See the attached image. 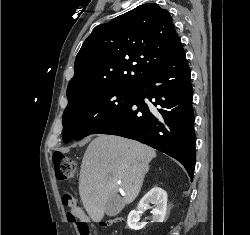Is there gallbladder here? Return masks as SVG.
<instances>
[{
    "mask_svg": "<svg viewBox=\"0 0 250 235\" xmlns=\"http://www.w3.org/2000/svg\"><path fill=\"white\" fill-rule=\"evenodd\" d=\"M124 205L120 198L110 197L107 201L105 213L108 216H116L123 209Z\"/></svg>",
    "mask_w": 250,
    "mask_h": 235,
    "instance_id": "gallbladder-1",
    "label": "gallbladder"
}]
</instances>
